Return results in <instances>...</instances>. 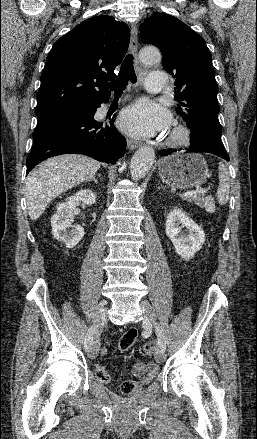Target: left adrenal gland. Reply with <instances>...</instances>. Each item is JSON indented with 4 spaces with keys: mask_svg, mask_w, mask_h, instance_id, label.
Wrapping results in <instances>:
<instances>
[{
    "mask_svg": "<svg viewBox=\"0 0 257 439\" xmlns=\"http://www.w3.org/2000/svg\"><path fill=\"white\" fill-rule=\"evenodd\" d=\"M161 188H163V185H162V184L158 187V189H161Z\"/></svg>",
    "mask_w": 257,
    "mask_h": 439,
    "instance_id": "left-adrenal-gland-1",
    "label": "left adrenal gland"
}]
</instances>
